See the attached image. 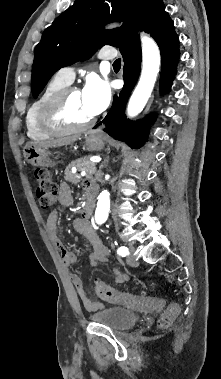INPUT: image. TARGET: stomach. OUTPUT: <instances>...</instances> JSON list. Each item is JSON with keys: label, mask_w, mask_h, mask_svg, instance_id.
Segmentation results:
<instances>
[{"label": "stomach", "mask_w": 221, "mask_h": 379, "mask_svg": "<svg viewBox=\"0 0 221 379\" xmlns=\"http://www.w3.org/2000/svg\"><path fill=\"white\" fill-rule=\"evenodd\" d=\"M104 138L96 133H89L85 137V145L89 151H98L104 147ZM24 157L32 166L53 167L56 162L52 159L51 152L47 148L27 144L24 147Z\"/></svg>", "instance_id": "0dacf381"}]
</instances>
